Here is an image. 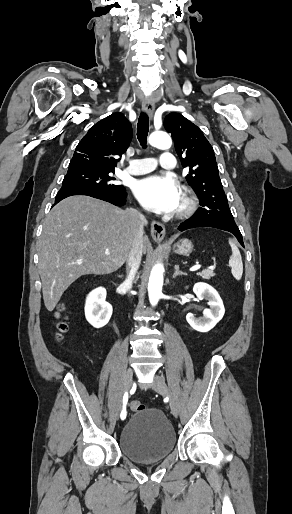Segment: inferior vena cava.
I'll list each match as a JSON object with an SVG mask.
<instances>
[{
	"instance_id": "inferior-vena-cava-1",
	"label": "inferior vena cava",
	"mask_w": 292,
	"mask_h": 514,
	"mask_svg": "<svg viewBox=\"0 0 292 514\" xmlns=\"http://www.w3.org/2000/svg\"><path fill=\"white\" fill-rule=\"evenodd\" d=\"M128 216H130L136 232L132 248L126 260L127 278L125 282L132 284L141 264L144 226H147V220L140 212H137V210H129Z\"/></svg>"
}]
</instances>
